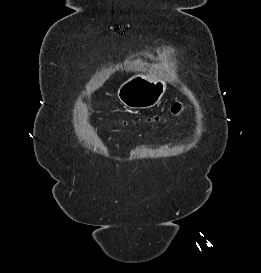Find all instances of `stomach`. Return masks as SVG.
Here are the masks:
<instances>
[{
	"label": "stomach",
	"mask_w": 261,
	"mask_h": 273,
	"mask_svg": "<svg viewBox=\"0 0 261 273\" xmlns=\"http://www.w3.org/2000/svg\"><path fill=\"white\" fill-rule=\"evenodd\" d=\"M166 88L164 79L136 74L120 85L117 96L126 107L148 109L161 100Z\"/></svg>",
	"instance_id": "0dacf381"
}]
</instances>
